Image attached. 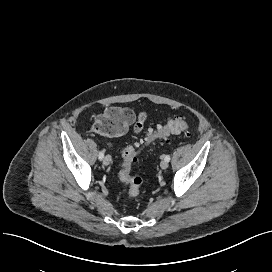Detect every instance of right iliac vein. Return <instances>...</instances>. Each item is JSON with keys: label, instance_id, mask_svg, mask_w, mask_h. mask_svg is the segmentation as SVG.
<instances>
[{"label": "right iliac vein", "instance_id": "63e3f726", "mask_svg": "<svg viewBox=\"0 0 272 272\" xmlns=\"http://www.w3.org/2000/svg\"><path fill=\"white\" fill-rule=\"evenodd\" d=\"M111 163V156L110 155H106L103 159V164L104 165H109Z\"/></svg>", "mask_w": 272, "mask_h": 272}]
</instances>
